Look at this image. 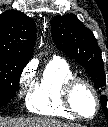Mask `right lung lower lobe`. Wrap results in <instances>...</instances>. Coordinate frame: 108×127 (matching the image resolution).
I'll list each match as a JSON object with an SVG mask.
<instances>
[{"label": "right lung lower lobe", "mask_w": 108, "mask_h": 127, "mask_svg": "<svg viewBox=\"0 0 108 127\" xmlns=\"http://www.w3.org/2000/svg\"><path fill=\"white\" fill-rule=\"evenodd\" d=\"M7 102H9V101H0V107H2L3 105H5Z\"/></svg>", "instance_id": "right-lung-lower-lobe-1"}]
</instances>
